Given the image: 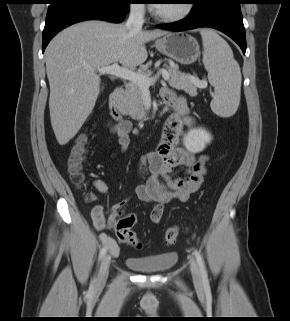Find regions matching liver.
<instances>
[{
    "label": "liver",
    "instance_id": "obj_1",
    "mask_svg": "<svg viewBox=\"0 0 290 321\" xmlns=\"http://www.w3.org/2000/svg\"><path fill=\"white\" fill-rule=\"evenodd\" d=\"M167 31H129L125 25L91 20L58 33L45 51L50 85L51 125L60 145L67 144L92 112L100 93L97 68L120 63L142 65L145 43Z\"/></svg>",
    "mask_w": 290,
    "mask_h": 321
}]
</instances>
